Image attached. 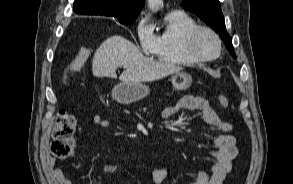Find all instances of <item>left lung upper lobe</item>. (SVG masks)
Returning a JSON list of instances; mask_svg holds the SVG:
<instances>
[{"label":"left lung upper lobe","instance_id":"left-lung-upper-lobe-1","mask_svg":"<svg viewBox=\"0 0 293 184\" xmlns=\"http://www.w3.org/2000/svg\"><path fill=\"white\" fill-rule=\"evenodd\" d=\"M181 6L210 25L220 35L230 54L236 57L232 39L225 28L224 17L218 0H183Z\"/></svg>","mask_w":293,"mask_h":184}]
</instances>
